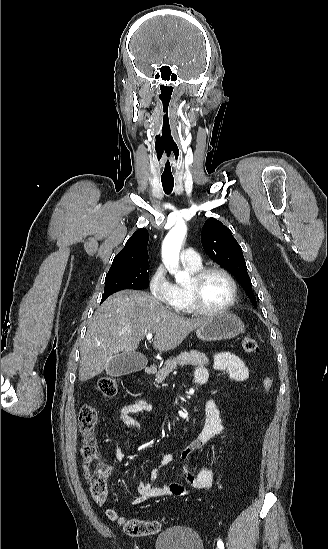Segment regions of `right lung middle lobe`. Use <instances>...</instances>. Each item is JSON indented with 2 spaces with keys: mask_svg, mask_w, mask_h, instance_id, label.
I'll use <instances>...</instances> for the list:
<instances>
[{
  "mask_svg": "<svg viewBox=\"0 0 328 549\" xmlns=\"http://www.w3.org/2000/svg\"><path fill=\"white\" fill-rule=\"evenodd\" d=\"M148 259L137 261L108 272L101 302L123 289H144L149 285Z\"/></svg>",
  "mask_w": 328,
  "mask_h": 549,
  "instance_id": "1",
  "label": "right lung middle lobe"
}]
</instances>
